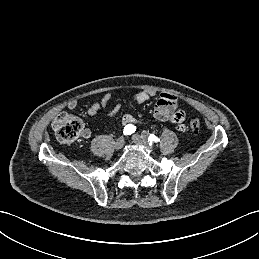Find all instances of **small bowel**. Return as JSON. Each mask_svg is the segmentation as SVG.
Wrapping results in <instances>:
<instances>
[{
  "instance_id": "c3829d8e",
  "label": "small bowel",
  "mask_w": 259,
  "mask_h": 259,
  "mask_svg": "<svg viewBox=\"0 0 259 259\" xmlns=\"http://www.w3.org/2000/svg\"><path fill=\"white\" fill-rule=\"evenodd\" d=\"M155 96L154 91H140L135 95V101L137 104H144L151 97ZM111 99V94L106 93L100 101L94 102L87 109V113L90 116L96 115L100 110L106 109L109 101ZM178 98L172 93L162 92L160 97L154 107V117L161 121L166 122L170 121L171 123L176 125V128L180 131L185 130L184 120H185V112L182 109L178 108ZM69 109L73 110L77 107L76 101H70L68 103ZM119 111V107L115 106L111 110L108 111V116H113ZM135 118L130 114H125L122 117V124H135ZM82 137L87 139L91 136V130L89 128H84L82 130Z\"/></svg>"
}]
</instances>
